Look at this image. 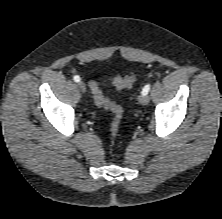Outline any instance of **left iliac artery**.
<instances>
[{"label": "left iliac artery", "mask_w": 222, "mask_h": 219, "mask_svg": "<svg viewBox=\"0 0 222 219\" xmlns=\"http://www.w3.org/2000/svg\"><path fill=\"white\" fill-rule=\"evenodd\" d=\"M149 90H150V84L145 85L144 88L142 89V94L147 95Z\"/></svg>", "instance_id": "left-iliac-artery-1"}]
</instances>
